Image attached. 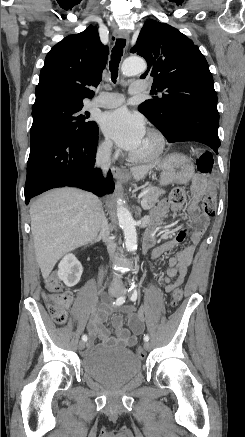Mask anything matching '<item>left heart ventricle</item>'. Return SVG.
I'll return each mask as SVG.
<instances>
[{"instance_id": "1", "label": "left heart ventricle", "mask_w": 245, "mask_h": 437, "mask_svg": "<svg viewBox=\"0 0 245 437\" xmlns=\"http://www.w3.org/2000/svg\"><path fill=\"white\" fill-rule=\"evenodd\" d=\"M156 146V141L153 137L146 133L140 146L133 152V155L143 156L151 153Z\"/></svg>"}]
</instances>
